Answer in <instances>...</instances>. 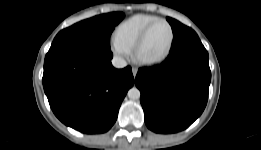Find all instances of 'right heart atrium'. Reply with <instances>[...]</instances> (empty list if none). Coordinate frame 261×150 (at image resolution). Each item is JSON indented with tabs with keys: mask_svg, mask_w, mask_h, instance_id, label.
I'll list each match as a JSON object with an SVG mask.
<instances>
[{
	"mask_svg": "<svg viewBox=\"0 0 261 150\" xmlns=\"http://www.w3.org/2000/svg\"><path fill=\"white\" fill-rule=\"evenodd\" d=\"M111 49L115 56L119 58H125L129 54V50L120 43H118L115 39L111 43Z\"/></svg>",
	"mask_w": 261,
	"mask_h": 150,
	"instance_id": "right-heart-atrium-1",
	"label": "right heart atrium"
}]
</instances>
